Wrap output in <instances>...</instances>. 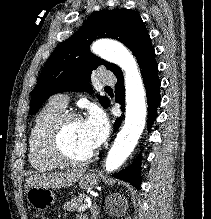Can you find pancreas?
Segmentation results:
<instances>
[{
    "label": "pancreas",
    "mask_w": 211,
    "mask_h": 219,
    "mask_svg": "<svg viewBox=\"0 0 211 219\" xmlns=\"http://www.w3.org/2000/svg\"><path fill=\"white\" fill-rule=\"evenodd\" d=\"M85 197H86L85 194H80L79 196H75L74 198L66 202L63 208L67 211H75L79 209V207L82 205V202Z\"/></svg>",
    "instance_id": "1"
}]
</instances>
